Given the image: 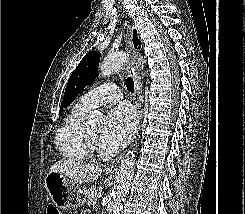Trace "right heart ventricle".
Here are the masks:
<instances>
[{"label":"right heart ventricle","mask_w":245,"mask_h":214,"mask_svg":"<svg viewBox=\"0 0 245 214\" xmlns=\"http://www.w3.org/2000/svg\"><path fill=\"white\" fill-rule=\"evenodd\" d=\"M89 107L80 101L70 110L55 136V146L61 156L71 162H83L88 151L83 142L82 118Z\"/></svg>","instance_id":"right-heart-ventricle-1"}]
</instances>
